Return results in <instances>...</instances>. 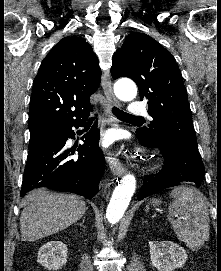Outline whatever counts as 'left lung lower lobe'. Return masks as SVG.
<instances>
[{
  "instance_id": "0a47b994",
  "label": "left lung lower lobe",
  "mask_w": 221,
  "mask_h": 271,
  "mask_svg": "<svg viewBox=\"0 0 221 271\" xmlns=\"http://www.w3.org/2000/svg\"><path fill=\"white\" fill-rule=\"evenodd\" d=\"M136 135L142 145L159 148L164 157V166L159 173L144 176L143 185L138 193V200L165 188L177 186L182 181L201 184L204 165L198 147L162 131H158L151 136L136 131Z\"/></svg>"
}]
</instances>
